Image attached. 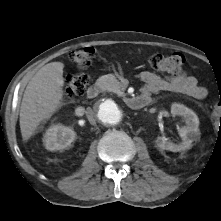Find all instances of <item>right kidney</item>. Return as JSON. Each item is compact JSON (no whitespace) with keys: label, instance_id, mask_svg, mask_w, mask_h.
I'll list each match as a JSON object with an SVG mask.
<instances>
[{"label":"right kidney","instance_id":"ca27d5eb","mask_svg":"<svg viewBox=\"0 0 221 221\" xmlns=\"http://www.w3.org/2000/svg\"><path fill=\"white\" fill-rule=\"evenodd\" d=\"M75 139V132L66 126L55 124L47 129L44 135V146L49 151L68 147Z\"/></svg>","mask_w":221,"mask_h":221}]
</instances>
